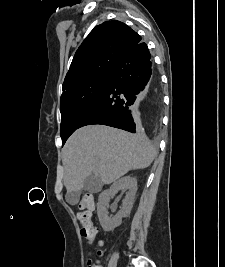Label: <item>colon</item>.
<instances>
[{
  "label": "colon",
  "instance_id": "5ec220e1",
  "mask_svg": "<svg viewBox=\"0 0 225 267\" xmlns=\"http://www.w3.org/2000/svg\"><path fill=\"white\" fill-rule=\"evenodd\" d=\"M94 208V200L92 196H85L78 204V219L82 223L81 235L89 243H92L97 234V228L93 225L91 220V211ZM98 255H101V251H98ZM88 267H101L98 262L89 260L87 262Z\"/></svg>",
  "mask_w": 225,
  "mask_h": 267
}]
</instances>
